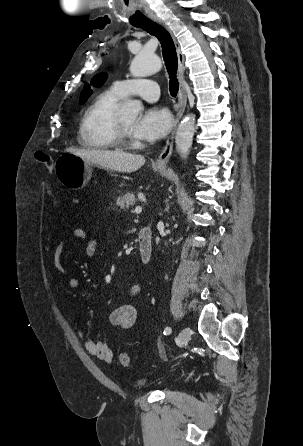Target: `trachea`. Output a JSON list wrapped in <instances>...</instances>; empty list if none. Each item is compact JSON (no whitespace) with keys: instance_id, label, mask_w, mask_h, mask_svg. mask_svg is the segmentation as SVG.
<instances>
[{"instance_id":"trachea-1","label":"trachea","mask_w":303,"mask_h":446,"mask_svg":"<svg viewBox=\"0 0 303 446\" xmlns=\"http://www.w3.org/2000/svg\"><path fill=\"white\" fill-rule=\"evenodd\" d=\"M135 27H139L146 32L154 35L158 38L162 46V53L165 62L166 69L169 73L170 83L169 90L170 94L173 97H176L179 90V82L176 77L177 67H178V59L177 53L175 49V45L170 33L161 25L147 20L136 24Z\"/></svg>"}]
</instances>
